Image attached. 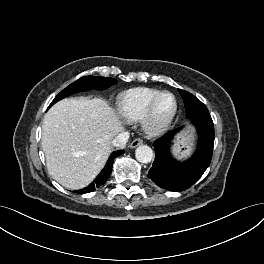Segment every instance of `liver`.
Masks as SVG:
<instances>
[{"instance_id": "1", "label": "liver", "mask_w": 264, "mask_h": 264, "mask_svg": "<svg viewBox=\"0 0 264 264\" xmlns=\"http://www.w3.org/2000/svg\"><path fill=\"white\" fill-rule=\"evenodd\" d=\"M122 122L103 100L63 99L46 113L41 145L49 174L68 189L86 187L104 167Z\"/></svg>"}]
</instances>
